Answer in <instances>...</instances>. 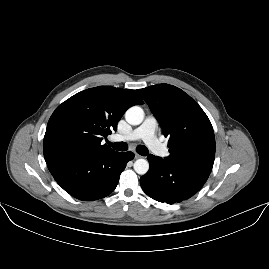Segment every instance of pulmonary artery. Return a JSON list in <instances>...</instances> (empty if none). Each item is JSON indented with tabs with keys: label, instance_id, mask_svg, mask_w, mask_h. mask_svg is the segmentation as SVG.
<instances>
[{
	"label": "pulmonary artery",
	"instance_id": "1",
	"mask_svg": "<svg viewBox=\"0 0 269 269\" xmlns=\"http://www.w3.org/2000/svg\"><path fill=\"white\" fill-rule=\"evenodd\" d=\"M158 122L153 115H149L143 123L131 130L126 135H116V141H139L142 140L148 148L154 150L158 157H165L167 155V148L163 144H159L157 138Z\"/></svg>",
	"mask_w": 269,
	"mask_h": 269
}]
</instances>
